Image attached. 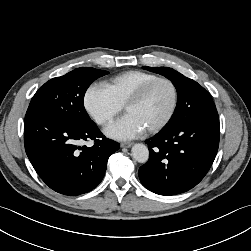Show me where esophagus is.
<instances>
[{
    "label": "esophagus",
    "instance_id": "esophagus-1",
    "mask_svg": "<svg viewBox=\"0 0 251 251\" xmlns=\"http://www.w3.org/2000/svg\"><path fill=\"white\" fill-rule=\"evenodd\" d=\"M132 144H133V143H131V142H122V143L120 144V146H121L122 148H129V147L132 146Z\"/></svg>",
    "mask_w": 251,
    "mask_h": 251
}]
</instances>
